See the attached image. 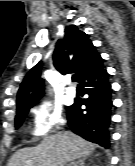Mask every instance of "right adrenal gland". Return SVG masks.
Segmentation results:
<instances>
[{
    "instance_id": "right-adrenal-gland-1",
    "label": "right adrenal gland",
    "mask_w": 135,
    "mask_h": 166,
    "mask_svg": "<svg viewBox=\"0 0 135 166\" xmlns=\"http://www.w3.org/2000/svg\"><path fill=\"white\" fill-rule=\"evenodd\" d=\"M67 166H85V159H81L77 162H72L68 164Z\"/></svg>"
}]
</instances>
